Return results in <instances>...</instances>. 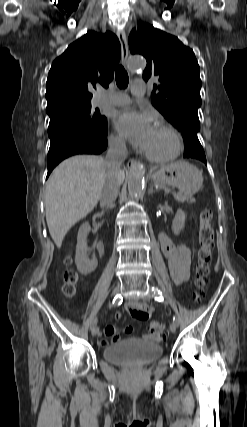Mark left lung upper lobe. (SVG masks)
I'll list each match as a JSON object with an SVG mask.
<instances>
[{
	"instance_id": "5c2ea615",
	"label": "left lung upper lobe",
	"mask_w": 247,
	"mask_h": 427,
	"mask_svg": "<svg viewBox=\"0 0 247 427\" xmlns=\"http://www.w3.org/2000/svg\"><path fill=\"white\" fill-rule=\"evenodd\" d=\"M129 45L132 54L147 60L143 79L159 81L153 86L152 104L179 131L197 133L202 83L194 52L175 36L147 24L130 33Z\"/></svg>"
}]
</instances>
